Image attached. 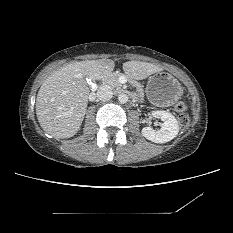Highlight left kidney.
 I'll list each match as a JSON object with an SVG mask.
<instances>
[{"instance_id": "left-kidney-1", "label": "left kidney", "mask_w": 233, "mask_h": 233, "mask_svg": "<svg viewBox=\"0 0 233 233\" xmlns=\"http://www.w3.org/2000/svg\"><path fill=\"white\" fill-rule=\"evenodd\" d=\"M154 118L161 119L163 123L159 130L151 127H144L142 135L155 143H166L176 137L179 132V125L176 118L167 111L157 110L152 112Z\"/></svg>"}]
</instances>
